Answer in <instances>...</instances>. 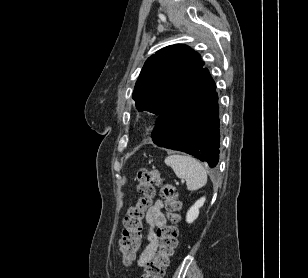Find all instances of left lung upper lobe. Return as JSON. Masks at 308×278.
I'll use <instances>...</instances> for the list:
<instances>
[{
  "label": "left lung upper lobe",
  "mask_w": 308,
  "mask_h": 278,
  "mask_svg": "<svg viewBox=\"0 0 308 278\" xmlns=\"http://www.w3.org/2000/svg\"><path fill=\"white\" fill-rule=\"evenodd\" d=\"M203 65L200 55L186 45L157 51L145 62L136 82L132 94L136 108L159 115Z\"/></svg>",
  "instance_id": "left-lung-upper-lobe-1"
}]
</instances>
